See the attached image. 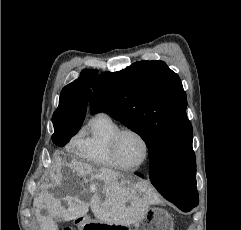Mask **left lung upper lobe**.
<instances>
[{
	"label": "left lung upper lobe",
	"instance_id": "left-lung-upper-lobe-1",
	"mask_svg": "<svg viewBox=\"0 0 241 230\" xmlns=\"http://www.w3.org/2000/svg\"><path fill=\"white\" fill-rule=\"evenodd\" d=\"M91 113L106 112L145 141L149 158L167 163L164 192L189 200L196 189V160L187 97L179 76L162 61H141L98 76Z\"/></svg>",
	"mask_w": 241,
	"mask_h": 230
}]
</instances>
